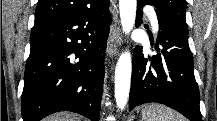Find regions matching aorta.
I'll return each instance as SVG.
<instances>
[{
  "label": "aorta",
  "instance_id": "obj_1",
  "mask_svg": "<svg viewBox=\"0 0 217 121\" xmlns=\"http://www.w3.org/2000/svg\"><path fill=\"white\" fill-rule=\"evenodd\" d=\"M136 0H119L122 29L128 34L134 26L136 18ZM131 55L128 51L121 54L115 70V99L117 107L123 110L127 104L131 83Z\"/></svg>",
  "mask_w": 217,
  "mask_h": 121
}]
</instances>
